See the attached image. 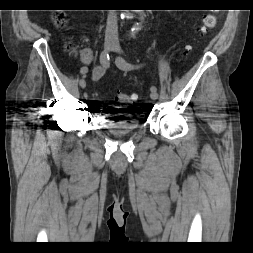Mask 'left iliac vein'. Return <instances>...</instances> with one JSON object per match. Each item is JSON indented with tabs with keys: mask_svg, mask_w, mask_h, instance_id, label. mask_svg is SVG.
I'll use <instances>...</instances> for the list:
<instances>
[{
	"mask_svg": "<svg viewBox=\"0 0 253 253\" xmlns=\"http://www.w3.org/2000/svg\"><path fill=\"white\" fill-rule=\"evenodd\" d=\"M111 50L114 51V52H116V53H118V54H122L123 53L121 47L119 46V44L117 42L114 43V46H113V48ZM150 97H151L152 100H157L158 93L156 92V90H152L150 92Z\"/></svg>",
	"mask_w": 253,
	"mask_h": 253,
	"instance_id": "left-iliac-vein-1",
	"label": "left iliac vein"
}]
</instances>
